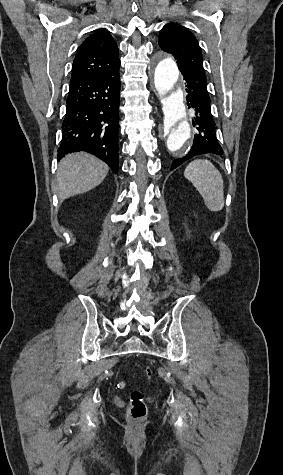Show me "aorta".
<instances>
[{
  "mask_svg": "<svg viewBox=\"0 0 283 475\" xmlns=\"http://www.w3.org/2000/svg\"><path fill=\"white\" fill-rule=\"evenodd\" d=\"M179 69L172 58L158 61L154 69L155 88L163 103V126L160 147L175 157L187 154L193 138L183 92L179 86Z\"/></svg>",
  "mask_w": 283,
  "mask_h": 475,
  "instance_id": "762f6f07",
  "label": "aorta"
}]
</instances>
